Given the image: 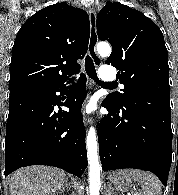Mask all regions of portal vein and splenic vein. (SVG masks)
<instances>
[{
  "label": "portal vein and splenic vein",
  "instance_id": "portal-vein-and-splenic-vein-1",
  "mask_svg": "<svg viewBox=\"0 0 178 195\" xmlns=\"http://www.w3.org/2000/svg\"><path fill=\"white\" fill-rule=\"evenodd\" d=\"M128 195H136V194H130V193H128Z\"/></svg>",
  "mask_w": 178,
  "mask_h": 195
}]
</instances>
